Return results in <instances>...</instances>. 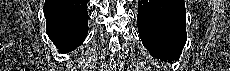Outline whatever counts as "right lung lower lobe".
<instances>
[{"label": "right lung lower lobe", "instance_id": "obj_1", "mask_svg": "<svg viewBox=\"0 0 230 71\" xmlns=\"http://www.w3.org/2000/svg\"><path fill=\"white\" fill-rule=\"evenodd\" d=\"M89 0H45L46 33L60 53H68L82 44L88 33Z\"/></svg>", "mask_w": 230, "mask_h": 71}]
</instances>
